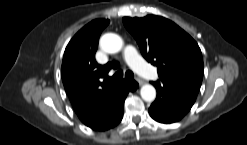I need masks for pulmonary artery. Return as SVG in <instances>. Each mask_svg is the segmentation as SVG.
<instances>
[{"label":"pulmonary artery","mask_w":247,"mask_h":145,"mask_svg":"<svg viewBox=\"0 0 247 145\" xmlns=\"http://www.w3.org/2000/svg\"><path fill=\"white\" fill-rule=\"evenodd\" d=\"M123 56L128 65L137 73L147 78L156 77L155 71L144 63L134 47L127 46L124 50Z\"/></svg>","instance_id":"1"}]
</instances>
